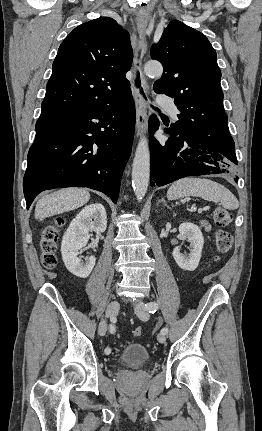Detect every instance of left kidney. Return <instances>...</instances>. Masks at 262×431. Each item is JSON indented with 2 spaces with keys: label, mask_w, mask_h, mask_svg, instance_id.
Segmentation results:
<instances>
[{
  "label": "left kidney",
  "mask_w": 262,
  "mask_h": 431,
  "mask_svg": "<svg viewBox=\"0 0 262 431\" xmlns=\"http://www.w3.org/2000/svg\"><path fill=\"white\" fill-rule=\"evenodd\" d=\"M179 232L186 237L191 244L189 254H182L180 247H175L172 255L177 265L187 271H194L200 262L201 253L204 245V238L200 228L193 223H182L179 226Z\"/></svg>",
  "instance_id": "1"
}]
</instances>
